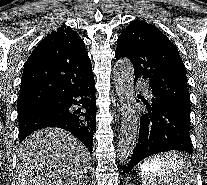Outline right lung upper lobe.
I'll list each match as a JSON object with an SVG mask.
<instances>
[{"label":"right lung upper lobe","mask_w":207,"mask_h":185,"mask_svg":"<svg viewBox=\"0 0 207 185\" xmlns=\"http://www.w3.org/2000/svg\"><path fill=\"white\" fill-rule=\"evenodd\" d=\"M93 76L85 44L70 27L53 31L28 58L21 81L17 111L54 101L73 84Z\"/></svg>","instance_id":"right-lung-upper-lobe-1"}]
</instances>
